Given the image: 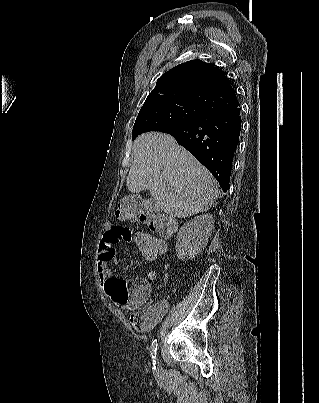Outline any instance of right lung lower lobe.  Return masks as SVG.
<instances>
[{"label":"right lung lower lobe","instance_id":"98d812e1","mask_svg":"<svg viewBox=\"0 0 319 403\" xmlns=\"http://www.w3.org/2000/svg\"><path fill=\"white\" fill-rule=\"evenodd\" d=\"M240 130V108L237 106L210 112L195 122L169 126L159 132L172 135L212 173L226 192Z\"/></svg>","mask_w":319,"mask_h":403}]
</instances>
